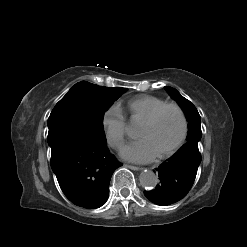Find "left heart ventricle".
Instances as JSON below:
<instances>
[{
	"label": "left heart ventricle",
	"instance_id": "b2bd125f",
	"mask_svg": "<svg viewBox=\"0 0 247 247\" xmlns=\"http://www.w3.org/2000/svg\"><path fill=\"white\" fill-rule=\"evenodd\" d=\"M180 132V117L175 110L169 109L153 125H141L137 136L140 139H146L158 155L174 144Z\"/></svg>",
	"mask_w": 247,
	"mask_h": 247
}]
</instances>
